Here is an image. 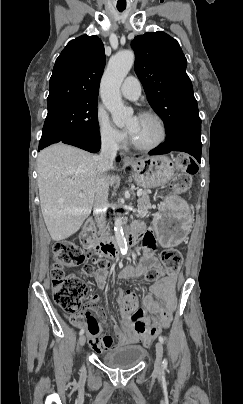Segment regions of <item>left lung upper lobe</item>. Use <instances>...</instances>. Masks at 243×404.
<instances>
[{
  "mask_svg": "<svg viewBox=\"0 0 243 404\" xmlns=\"http://www.w3.org/2000/svg\"><path fill=\"white\" fill-rule=\"evenodd\" d=\"M135 72L166 132L183 122L201 123L187 61L178 42L164 32H148L132 41Z\"/></svg>",
  "mask_w": 243,
  "mask_h": 404,
  "instance_id": "5c2ea615",
  "label": "left lung upper lobe"
}]
</instances>
